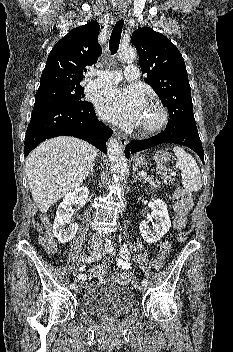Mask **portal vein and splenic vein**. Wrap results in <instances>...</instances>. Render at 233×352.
Returning a JSON list of instances; mask_svg holds the SVG:
<instances>
[{
    "instance_id": "1",
    "label": "portal vein and splenic vein",
    "mask_w": 233,
    "mask_h": 352,
    "mask_svg": "<svg viewBox=\"0 0 233 352\" xmlns=\"http://www.w3.org/2000/svg\"><path fill=\"white\" fill-rule=\"evenodd\" d=\"M139 175L142 176V177H148L145 172H141V173H139Z\"/></svg>"
}]
</instances>
